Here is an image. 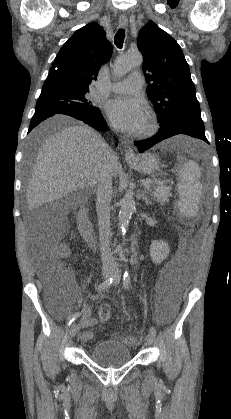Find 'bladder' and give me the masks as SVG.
Wrapping results in <instances>:
<instances>
[{"label":"bladder","instance_id":"obj_1","mask_svg":"<svg viewBox=\"0 0 231 419\" xmlns=\"http://www.w3.org/2000/svg\"><path fill=\"white\" fill-rule=\"evenodd\" d=\"M90 360L104 368H118L128 363L131 358L130 348L118 340L98 342L89 352Z\"/></svg>","mask_w":231,"mask_h":419}]
</instances>
